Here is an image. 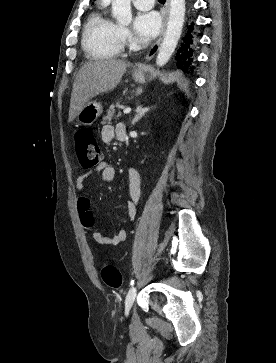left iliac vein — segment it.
I'll list each match as a JSON object with an SVG mask.
<instances>
[{"mask_svg": "<svg viewBox=\"0 0 276 363\" xmlns=\"http://www.w3.org/2000/svg\"><path fill=\"white\" fill-rule=\"evenodd\" d=\"M136 287L135 286H132L128 293H127V296H126V299H125V312L126 314L129 312V310L131 309L133 303H134V300L136 298Z\"/></svg>", "mask_w": 276, "mask_h": 363, "instance_id": "1", "label": "left iliac vein"}]
</instances>
